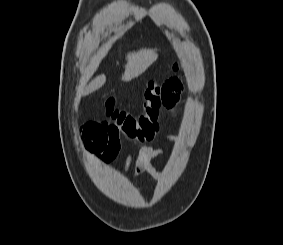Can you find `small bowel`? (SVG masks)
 I'll list each match as a JSON object with an SVG mask.
<instances>
[{
    "label": "small bowel",
    "mask_w": 283,
    "mask_h": 245,
    "mask_svg": "<svg viewBox=\"0 0 283 245\" xmlns=\"http://www.w3.org/2000/svg\"><path fill=\"white\" fill-rule=\"evenodd\" d=\"M182 90L183 83L179 77H170L165 80L162 83V107L170 111L175 110ZM166 140L174 142L177 137L167 135ZM83 145L95 159L108 163L118 155L121 148V137L109 122H88L83 127ZM163 153V149L153 145L141 147L135 159L132 176L136 178L147 174L153 179H161L163 174L152 165V160ZM132 162L133 155L128 152L124 160V172L129 171Z\"/></svg>",
    "instance_id": "c3829d8e"
}]
</instances>
